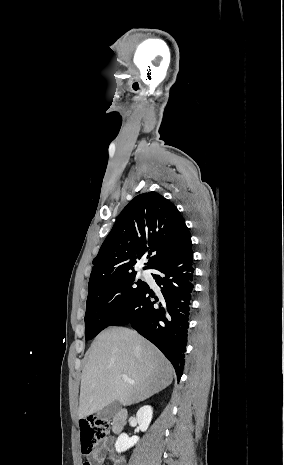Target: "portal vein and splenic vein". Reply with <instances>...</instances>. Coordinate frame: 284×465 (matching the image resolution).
<instances>
[{"label": "portal vein and splenic vein", "instance_id": "obj_1", "mask_svg": "<svg viewBox=\"0 0 284 465\" xmlns=\"http://www.w3.org/2000/svg\"><path fill=\"white\" fill-rule=\"evenodd\" d=\"M123 381H125V383H135V381H132V379H129L128 375H121Z\"/></svg>", "mask_w": 284, "mask_h": 465}]
</instances>
